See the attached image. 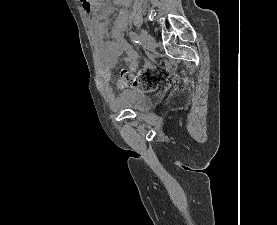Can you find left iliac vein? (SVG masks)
<instances>
[{"label": "left iliac vein", "mask_w": 277, "mask_h": 225, "mask_svg": "<svg viewBox=\"0 0 277 225\" xmlns=\"http://www.w3.org/2000/svg\"><path fill=\"white\" fill-rule=\"evenodd\" d=\"M140 42L142 43L143 47L148 51H153L156 48V40L150 34L142 31L140 33Z\"/></svg>", "instance_id": "obj_1"}]
</instances>
